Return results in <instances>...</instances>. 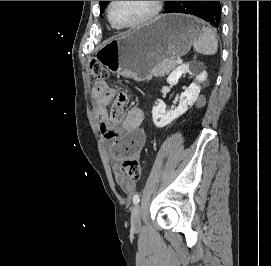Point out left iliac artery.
Wrapping results in <instances>:
<instances>
[{
  "label": "left iliac artery",
  "mask_w": 271,
  "mask_h": 266,
  "mask_svg": "<svg viewBox=\"0 0 271 266\" xmlns=\"http://www.w3.org/2000/svg\"><path fill=\"white\" fill-rule=\"evenodd\" d=\"M139 201H140V196L138 194H135L133 196V203L137 204V203H139Z\"/></svg>",
  "instance_id": "1"
}]
</instances>
